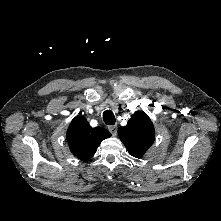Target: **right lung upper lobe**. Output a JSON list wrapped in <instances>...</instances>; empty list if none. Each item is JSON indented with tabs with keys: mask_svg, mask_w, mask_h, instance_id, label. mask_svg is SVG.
<instances>
[{
	"mask_svg": "<svg viewBox=\"0 0 221 221\" xmlns=\"http://www.w3.org/2000/svg\"><path fill=\"white\" fill-rule=\"evenodd\" d=\"M110 136V132L104 128H92L83 116L75 117L67 130L69 148L81 160L94 155L101 141Z\"/></svg>",
	"mask_w": 221,
	"mask_h": 221,
	"instance_id": "cb5924a9",
	"label": "right lung upper lobe"
}]
</instances>
